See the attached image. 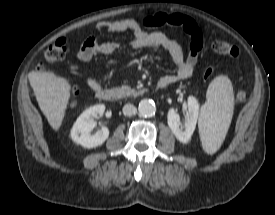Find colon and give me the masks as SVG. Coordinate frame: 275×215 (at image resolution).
<instances>
[{
    "label": "colon",
    "instance_id": "colon-1",
    "mask_svg": "<svg viewBox=\"0 0 275 215\" xmlns=\"http://www.w3.org/2000/svg\"><path fill=\"white\" fill-rule=\"evenodd\" d=\"M166 24L182 29L184 32L193 35L197 32L196 24L189 18L182 15L167 16L165 19ZM212 49L221 55H224L228 58L229 64L231 66L236 65V61L240 56L239 49L229 44L225 41L216 40L212 43ZM67 53V42L66 39L60 38L52 43L44 52V61L47 63H54L62 60ZM216 68H209L204 73V78L207 80L214 75ZM78 90L72 88L70 99H69V108L74 109L78 104ZM236 97L239 101H244L247 97V94L244 90H239L236 94Z\"/></svg>",
    "mask_w": 275,
    "mask_h": 215
}]
</instances>
